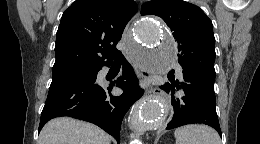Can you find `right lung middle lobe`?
<instances>
[{
  "instance_id": "right-lung-middle-lobe-1",
  "label": "right lung middle lobe",
  "mask_w": 260,
  "mask_h": 144,
  "mask_svg": "<svg viewBox=\"0 0 260 144\" xmlns=\"http://www.w3.org/2000/svg\"><path fill=\"white\" fill-rule=\"evenodd\" d=\"M94 67H75L52 72V83L61 82L72 78H86L94 71Z\"/></svg>"
}]
</instances>
